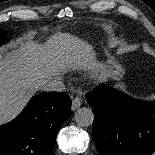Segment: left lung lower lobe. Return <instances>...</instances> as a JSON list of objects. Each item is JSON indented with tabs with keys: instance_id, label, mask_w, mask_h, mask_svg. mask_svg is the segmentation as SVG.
I'll use <instances>...</instances> for the list:
<instances>
[{
	"instance_id": "0a47b994",
	"label": "left lung lower lobe",
	"mask_w": 155,
	"mask_h": 155,
	"mask_svg": "<svg viewBox=\"0 0 155 155\" xmlns=\"http://www.w3.org/2000/svg\"><path fill=\"white\" fill-rule=\"evenodd\" d=\"M93 108L92 138L101 155H150L155 151V102L129 97L108 85L86 96Z\"/></svg>"
}]
</instances>
